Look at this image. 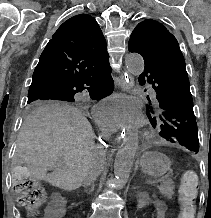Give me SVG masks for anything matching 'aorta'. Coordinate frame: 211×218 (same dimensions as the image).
I'll list each match as a JSON object with an SVG mask.
<instances>
[{
    "label": "aorta",
    "instance_id": "obj_1",
    "mask_svg": "<svg viewBox=\"0 0 211 218\" xmlns=\"http://www.w3.org/2000/svg\"><path fill=\"white\" fill-rule=\"evenodd\" d=\"M127 71L134 76H139L144 71V60L139 54H129L125 60ZM139 144L138 132L129 134L121 148L118 150L114 162V175L116 183L123 187L129 179L135 154Z\"/></svg>",
    "mask_w": 211,
    "mask_h": 218
}]
</instances>
